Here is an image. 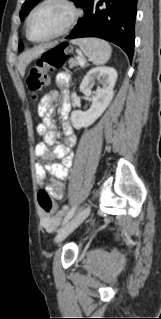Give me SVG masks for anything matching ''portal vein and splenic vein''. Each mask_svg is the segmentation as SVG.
Instances as JSON below:
<instances>
[{"label": "portal vein and splenic vein", "instance_id": "18ae733b", "mask_svg": "<svg viewBox=\"0 0 161 319\" xmlns=\"http://www.w3.org/2000/svg\"><path fill=\"white\" fill-rule=\"evenodd\" d=\"M77 60H78L80 65L84 64V59L81 56H77Z\"/></svg>", "mask_w": 161, "mask_h": 319}]
</instances>
